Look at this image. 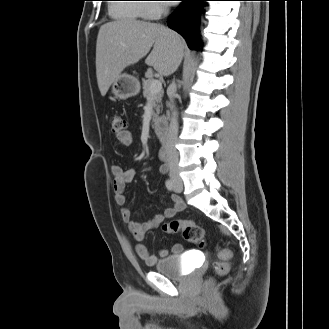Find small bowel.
<instances>
[{"label":"small bowel","mask_w":329,"mask_h":329,"mask_svg":"<svg viewBox=\"0 0 329 329\" xmlns=\"http://www.w3.org/2000/svg\"><path fill=\"white\" fill-rule=\"evenodd\" d=\"M117 139L124 146H129L133 142V136L129 131H125L117 135ZM159 170L160 172H166L167 165L165 163H162L159 166ZM111 172L113 175L112 185L114 190L115 202L121 208L120 213L122 220L128 223L130 232L138 242L135 246V252L138 257L146 264L154 265L159 258L169 255V251L167 249L161 248L158 250L157 255H152L148 248L142 243L145 237V233L151 229L158 227L165 219L174 217L184 208V204L179 197L173 195L170 198L172 205L167 208L163 213L155 214L151 219L141 223L133 221L130 209L125 207V190L127 185L135 179L137 175V170L134 168H123L121 165H113L111 167ZM182 250L183 246L180 243H174L171 247L172 253H180L182 252Z\"/></svg>","instance_id":"c3829d8e"}]
</instances>
